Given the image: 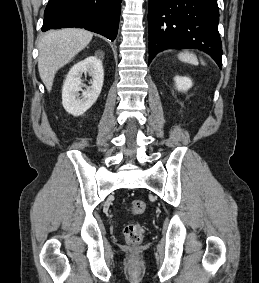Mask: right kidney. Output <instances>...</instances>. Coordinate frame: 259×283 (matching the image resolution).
I'll return each instance as SVG.
<instances>
[{
  "mask_svg": "<svg viewBox=\"0 0 259 283\" xmlns=\"http://www.w3.org/2000/svg\"><path fill=\"white\" fill-rule=\"evenodd\" d=\"M92 77L91 86L84 87L82 75ZM104 81L102 61L96 56H89L76 63L69 71L62 89V104L64 109L73 116L83 115L97 100ZM82 97L80 98V93Z\"/></svg>",
  "mask_w": 259,
  "mask_h": 283,
  "instance_id": "1",
  "label": "right kidney"
}]
</instances>
